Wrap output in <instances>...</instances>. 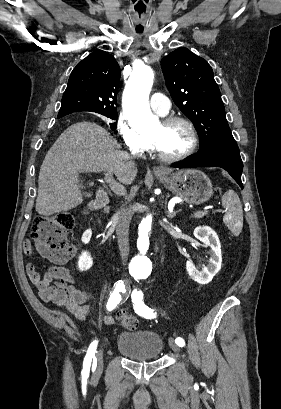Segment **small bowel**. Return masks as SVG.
Returning a JSON list of instances; mask_svg holds the SVG:
<instances>
[{"instance_id": "small-bowel-1", "label": "small bowel", "mask_w": 281, "mask_h": 409, "mask_svg": "<svg viewBox=\"0 0 281 409\" xmlns=\"http://www.w3.org/2000/svg\"><path fill=\"white\" fill-rule=\"evenodd\" d=\"M33 244L29 241L23 243V249L30 255ZM43 256L52 259V256L41 249ZM26 272L32 283L36 286L40 298L45 302L54 303L78 320L103 316L104 309L92 304L99 298V293L91 290H81L74 286L77 281L70 269L62 265L50 266L43 276H40L32 262L26 264ZM103 323H113L111 316H104Z\"/></svg>"}]
</instances>
